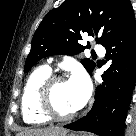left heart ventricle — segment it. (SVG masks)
<instances>
[{
    "label": "left heart ventricle",
    "mask_w": 136,
    "mask_h": 136,
    "mask_svg": "<svg viewBox=\"0 0 136 136\" xmlns=\"http://www.w3.org/2000/svg\"><path fill=\"white\" fill-rule=\"evenodd\" d=\"M52 102L55 110L62 115L77 110L72 100L68 82H61L55 85L52 92Z\"/></svg>",
    "instance_id": "left-heart-ventricle-1"
}]
</instances>
